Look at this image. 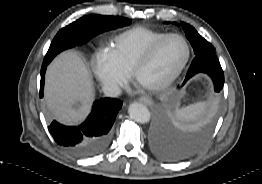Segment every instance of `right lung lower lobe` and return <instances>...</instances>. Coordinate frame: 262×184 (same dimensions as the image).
I'll return each mask as SVG.
<instances>
[{"mask_svg": "<svg viewBox=\"0 0 262 184\" xmlns=\"http://www.w3.org/2000/svg\"><path fill=\"white\" fill-rule=\"evenodd\" d=\"M47 64L41 68L40 97L43 96ZM122 102L103 98L94 102L88 118L79 126H64L53 121L48 129L57 144L80 157H92L104 151L111 140V128Z\"/></svg>", "mask_w": 262, "mask_h": 184, "instance_id": "obj_1", "label": "right lung lower lobe"}]
</instances>
